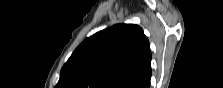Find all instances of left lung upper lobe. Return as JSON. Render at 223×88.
Wrapping results in <instances>:
<instances>
[{"label":"left lung upper lobe","instance_id":"left-lung-upper-lobe-1","mask_svg":"<svg viewBox=\"0 0 223 88\" xmlns=\"http://www.w3.org/2000/svg\"><path fill=\"white\" fill-rule=\"evenodd\" d=\"M143 30L118 24L85 39L60 72L56 88H134L151 75Z\"/></svg>","mask_w":223,"mask_h":88}]
</instances>
